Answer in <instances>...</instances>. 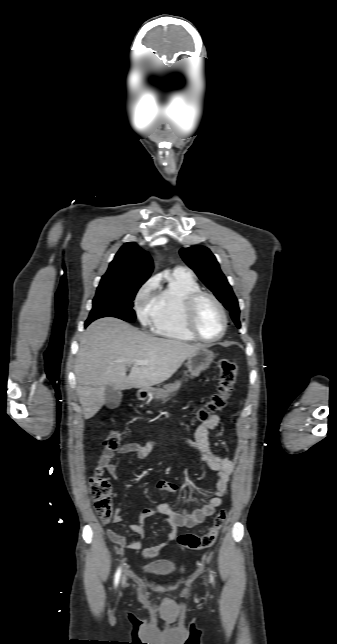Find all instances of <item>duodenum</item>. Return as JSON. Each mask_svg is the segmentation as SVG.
I'll list each match as a JSON object with an SVG mask.
<instances>
[{
    "label": "duodenum",
    "mask_w": 337,
    "mask_h": 644,
    "mask_svg": "<svg viewBox=\"0 0 337 644\" xmlns=\"http://www.w3.org/2000/svg\"><path fill=\"white\" fill-rule=\"evenodd\" d=\"M137 397H138V399H140V400H144V399H145V393H144L143 391H140V392L137 394Z\"/></svg>",
    "instance_id": "410a0bca"
}]
</instances>
